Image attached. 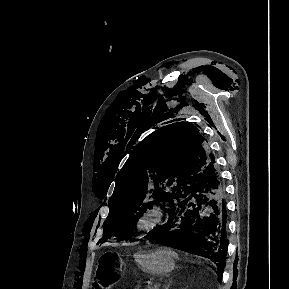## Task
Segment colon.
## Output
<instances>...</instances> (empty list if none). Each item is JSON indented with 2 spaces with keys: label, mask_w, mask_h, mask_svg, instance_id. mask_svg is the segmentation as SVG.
I'll return each mask as SVG.
<instances>
[{
  "label": "colon",
  "mask_w": 289,
  "mask_h": 289,
  "mask_svg": "<svg viewBox=\"0 0 289 289\" xmlns=\"http://www.w3.org/2000/svg\"><path fill=\"white\" fill-rule=\"evenodd\" d=\"M123 269L113 253H104L99 261L98 270L93 280L94 289H110L119 283Z\"/></svg>",
  "instance_id": "5ec220e1"
}]
</instances>
